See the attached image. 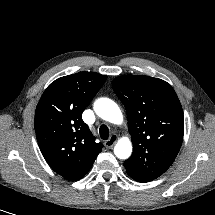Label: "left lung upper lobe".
<instances>
[{"instance_id": "5c2ea615", "label": "left lung upper lobe", "mask_w": 215, "mask_h": 215, "mask_svg": "<svg viewBox=\"0 0 215 215\" xmlns=\"http://www.w3.org/2000/svg\"><path fill=\"white\" fill-rule=\"evenodd\" d=\"M113 90L127 111L133 154L124 162L127 173L152 181L168 170L183 140L184 118L174 89L145 75L113 80Z\"/></svg>"}]
</instances>
